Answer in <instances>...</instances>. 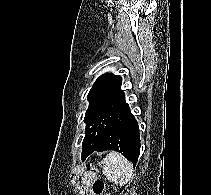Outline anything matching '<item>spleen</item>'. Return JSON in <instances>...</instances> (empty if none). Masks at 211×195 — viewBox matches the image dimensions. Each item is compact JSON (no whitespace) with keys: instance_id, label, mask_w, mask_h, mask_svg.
<instances>
[{"instance_id":"spleen-1","label":"spleen","mask_w":211,"mask_h":195,"mask_svg":"<svg viewBox=\"0 0 211 195\" xmlns=\"http://www.w3.org/2000/svg\"><path fill=\"white\" fill-rule=\"evenodd\" d=\"M107 179L117 185L127 184L133 177V165L121 154L112 152L100 162Z\"/></svg>"}]
</instances>
